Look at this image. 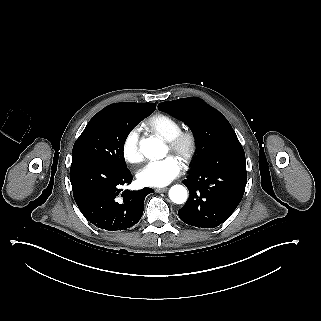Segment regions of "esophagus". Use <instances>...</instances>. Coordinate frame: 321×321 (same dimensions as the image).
Segmentation results:
<instances>
[{
    "label": "esophagus",
    "instance_id": "34e87169",
    "mask_svg": "<svg viewBox=\"0 0 321 321\" xmlns=\"http://www.w3.org/2000/svg\"><path fill=\"white\" fill-rule=\"evenodd\" d=\"M168 190V188H157V189H155V192H157V193H163V192H165V191H167Z\"/></svg>",
    "mask_w": 321,
    "mask_h": 321
}]
</instances>
